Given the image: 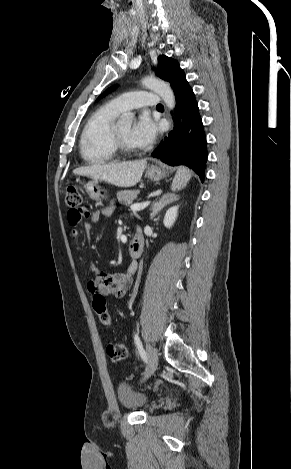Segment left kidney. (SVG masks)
<instances>
[{
  "label": "left kidney",
  "instance_id": "1",
  "mask_svg": "<svg viewBox=\"0 0 291 469\" xmlns=\"http://www.w3.org/2000/svg\"><path fill=\"white\" fill-rule=\"evenodd\" d=\"M178 207L179 206H173V207H171L167 210V212L165 214V217H164V220H163V223H164L165 227H167V228L172 227V225L176 221V218H177V215H178Z\"/></svg>",
  "mask_w": 291,
  "mask_h": 469
}]
</instances>
